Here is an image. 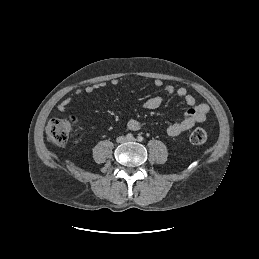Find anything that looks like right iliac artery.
<instances>
[{
	"label": "right iliac artery",
	"mask_w": 259,
	"mask_h": 259,
	"mask_svg": "<svg viewBox=\"0 0 259 259\" xmlns=\"http://www.w3.org/2000/svg\"><path fill=\"white\" fill-rule=\"evenodd\" d=\"M126 138H127V139H133V134L128 133V134L126 135Z\"/></svg>",
	"instance_id": "right-iliac-artery-1"
}]
</instances>
